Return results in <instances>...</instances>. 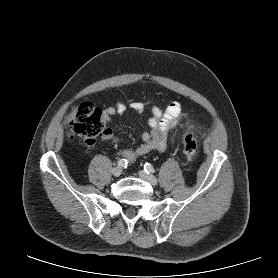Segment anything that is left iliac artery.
Instances as JSON below:
<instances>
[{
	"label": "left iliac artery",
	"instance_id": "44dca946",
	"mask_svg": "<svg viewBox=\"0 0 278 278\" xmlns=\"http://www.w3.org/2000/svg\"><path fill=\"white\" fill-rule=\"evenodd\" d=\"M144 170L146 173H154V167L150 163L144 164Z\"/></svg>",
	"mask_w": 278,
	"mask_h": 278
}]
</instances>
